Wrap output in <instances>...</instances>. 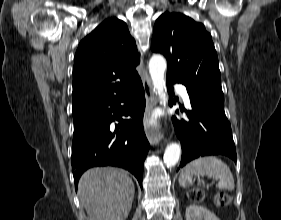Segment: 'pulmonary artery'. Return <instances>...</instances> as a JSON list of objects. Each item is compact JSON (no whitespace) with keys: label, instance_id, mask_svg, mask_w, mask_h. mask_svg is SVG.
I'll list each match as a JSON object with an SVG mask.
<instances>
[{"label":"pulmonary artery","instance_id":"obj_1","mask_svg":"<svg viewBox=\"0 0 281 220\" xmlns=\"http://www.w3.org/2000/svg\"><path fill=\"white\" fill-rule=\"evenodd\" d=\"M176 91L181 95V97L184 100L185 105L190 108L191 107V103H190V98L189 95L186 91V88L182 85H176L175 86Z\"/></svg>","mask_w":281,"mask_h":220}]
</instances>
